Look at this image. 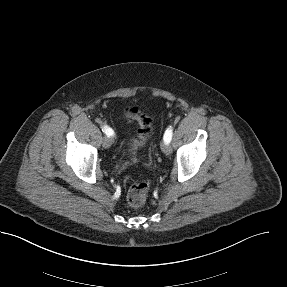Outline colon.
<instances>
[{
    "mask_svg": "<svg viewBox=\"0 0 287 287\" xmlns=\"http://www.w3.org/2000/svg\"><path fill=\"white\" fill-rule=\"evenodd\" d=\"M127 118L138 125L137 135L132 141V148L142 146L152 134V120L149 116L141 113L137 108H132L127 112ZM148 184L145 182L133 183L127 194V201L132 207L141 206L147 197Z\"/></svg>",
    "mask_w": 287,
    "mask_h": 287,
    "instance_id": "1",
    "label": "colon"
}]
</instances>
